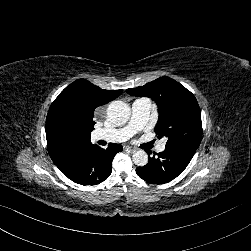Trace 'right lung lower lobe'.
<instances>
[{"label": "right lung lower lobe", "instance_id": "98d812e1", "mask_svg": "<svg viewBox=\"0 0 251 251\" xmlns=\"http://www.w3.org/2000/svg\"><path fill=\"white\" fill-rule=\"evenodd\" d=\"M121 150L122 146L115 143L107 149L92 145L65 157L56 166L75 183L96 185L110 176L113 158Z\"/></svg>", "mask_w": 251, "mask_h": 251}]
</instances>
